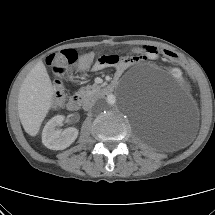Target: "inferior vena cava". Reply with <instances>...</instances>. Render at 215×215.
Returning a JSON list of instances; mask_svg holds the SVG:
<instances>
[{
	"label": "inferior vena cava",
	"instance_id": "obj_1",
	"mask_svg": "<svg viewBox=\"0 0 215 215\" xmlns=\"http://www.w3.org/2000/svg\"><path fill=\"white\" fill-rule=\"evenodd\" d=\"M95 104H96V101H95V100H88V101L84 102L83 108H84L85 110H89V109H91L92 107H94Z\"/></svg>",
	"mask_w": 215,
	"mask_h": 215
}]
</instances>
